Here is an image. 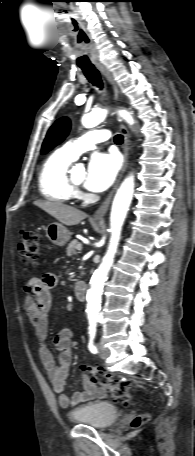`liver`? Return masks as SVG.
Segmentation results:
<instances>
[{
	"label": "liver",
	"mask_w": 195,
	"mask_h": 456,
	"mask_svg": "<svg viewBox=\"0 0 195 456\" xmlns=\"http://www.w3.org/2000/svg\"><path fill=\"white\" fill-rule=\"evenodd\" d=\"M33 204L67 226L77 225L87 217L85 212L58 201L37 200Z\"/></svg>",
	"instance_id": "liver-1"
}]
</instances>
